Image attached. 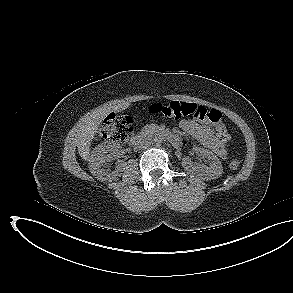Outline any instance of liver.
<instances>
[{
	"label": "liver",
	"mask_w": 293,
	"mask_h": 293,
	"mask_svg": "<svg viewBox=\"0 0 293 293\" xmlns=\"http://www.w3.org/2000/svg\"><path fill=\"white\" fill-rule=\"evenodd\" d=\"M130 106L129 102H125L113 107L100 108L93 111L90 115H86L81 119L75 135V142L78 153L82 159L89 161L90 146L94 135L97 133L102 120L111 112H119L127 109Z\"/></svg>",
	"instance_id": "liver-1"
}]
</instances>
